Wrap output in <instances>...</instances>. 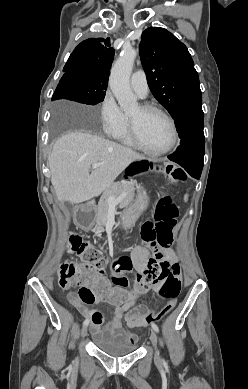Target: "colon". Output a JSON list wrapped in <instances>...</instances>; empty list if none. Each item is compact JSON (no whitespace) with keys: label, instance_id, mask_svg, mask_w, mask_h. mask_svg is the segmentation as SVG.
<instances>
[{"label":"colon","instance_id":"obj_1","mask_svg":"<svg viewBox=\"0 0 248 389\" xmlns=\"http://www.w3.org/2000/svg\"><path fill=\"white\" fill-rule=\"evenodd\" d=\"M165 166H152L146 158L138 161L127 172L134 177L136 172L165 171ZM174 182H182L186 175L182 170L174 169L170 172ZM178 216V209L170 196L164 195L158 202L152 220L144 222L140 228L142 240L151 246L168 248L173 243L174 227ZM70 250L82 259L81 262H64L59 268V285L62 288L79 286L78 295L85 304H92L97 299H103L113 304H120L128 299V295L115 287L107 285V276L104 269V259L101 253L93 248L80 236H72ZM112 269L117 274L112 280L113 286H123V290H130V280L119 274H132L134 266L129 256H121L112 263ZM133 284L136 292L148 294L156 285L158 295L165 301L159 311H152L147 307L144 315L145 324L162 320L173 309L176 298L181 290V268L177 263H170L166 257L157 253L148 260L146 267L134 274ZM135 294V293H134ZM95 326H100L103 317L100 312H94L91 318Z\"/></svg>","mask_w":248,"mask_h":389}]
</instances>
